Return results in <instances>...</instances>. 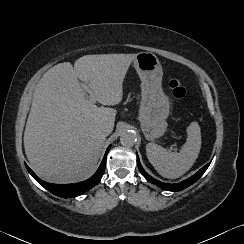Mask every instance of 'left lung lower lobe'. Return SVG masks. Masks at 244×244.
Returning <instances> with one entry per match:
<instances>
[{"instance_id": "left-lung-lower-lobe-1", "label": "left lung lower lobe", "mask_w": 244, "mask_h": 244, "mask_svg": "<svg viewBox=\"0 0 244 244\" xmlns=\"http://www.w3.org/2000/svg\"><path fill=\"white\" fill-rule=\"evenodd\" d=\"M137 165H138V168L141 172V174L151 183L157 185L158 187L164 189V190H167V191H180V190H183L185 188H187L188 186L192 185L193 183H195L202 175L203 173L207 170L208 166L210 165V163H208L207 165H205L203 168H201L195 175L191 176L190 178L186 179L185 181H182L181 183H178V184H165V183H162L158 180H155L154 178H152L150 175H148L140 161H139V157L137 155Z\"/></svg>"}]
</instances>
